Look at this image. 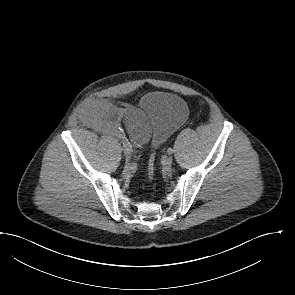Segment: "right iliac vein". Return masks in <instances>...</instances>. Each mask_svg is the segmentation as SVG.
<instances>
[{
	"label": "right iliac vein",
	"instance_id": "obj_1",
	"mask_svg": "<svg viewBox=\"0 0 295 295\" xmlns=\"http://www.w3.org/2000/svg\"><path fill=\"white\" fill-rule=\"evenodd\" d=\"M124 156L126 158V161L131 160V150L124 149Z\"/></svg>",
	"mask_w": 295,
	"mask_h": 295
}]
</instances>
